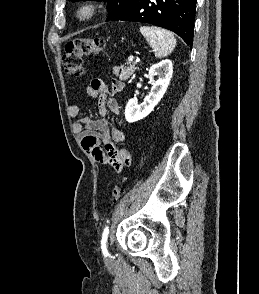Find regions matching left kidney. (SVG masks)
<instances>
[{"label": "left kidney", "mask_w": 259, "mask_h": 294, "mask_svg": "<svg viewBox=\"0 0 259 294\" xmlns=\"http://www.w3.org/2000/svg\"><path fill=\"white\" fill-rule=\"evenodd\" d=\"M173 74V64L169 59L160 61L153 65L148 78L152 85L151 92L143 103L138 104L134 99H130L125 108V118L129 123L136 122L148 116L160 102L165 94ZM157 76L155 80L154 77Z\"/></svg>", "instance_id": "obj_1"}]
</instances>
